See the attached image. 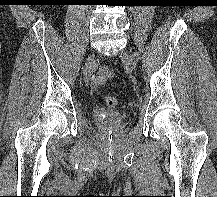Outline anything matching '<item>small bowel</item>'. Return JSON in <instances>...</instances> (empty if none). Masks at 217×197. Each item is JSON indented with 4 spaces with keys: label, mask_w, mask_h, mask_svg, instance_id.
<instances>
[{
    "label": "small bowel",
    "mask_w": 217,
    "mask_h": 197,
    "mask_svg": "<svg viewBox=\"0 0 217 197\" xmlns=\"http://www.w3.org/2000/svg\"><path fill=\"white\" fill-rule=\"evenodd\" d=\"M111 76L110 71L107 68H103L99 77L93 82L92 89H97L99 86L104 84V82Z\"/></svg>",
    "instance_id": "1"
}]
</instances>
